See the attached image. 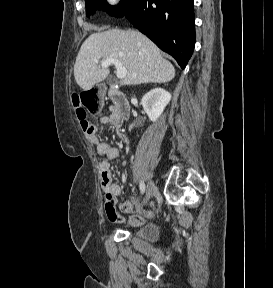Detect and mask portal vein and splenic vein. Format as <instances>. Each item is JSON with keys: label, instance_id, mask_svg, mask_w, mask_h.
I'll use <instances>...</instances> for the list:
<instances>
[{"label": "portal vein and splenic vein", "instance_id": "1", "mask_svg": "<svg viewBox=\"0 0 273 288\" xmlns=\"http://www.w3.org/2000/svg\"><path fill=\"white\" fill-rule=\"evenodd\" d=\"M96 63H98L97 59H95ZM111 64H114L116 67V76L118 79H124L126 76V69L121 65L118 59L114 58H106L101 62V67L102 68H107Z\"/></svg>", "mask_w": 273, "mask_h": 288}]
</instances>
